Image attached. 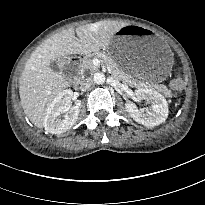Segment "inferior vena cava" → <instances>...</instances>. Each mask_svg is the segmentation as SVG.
<instances>
[{
  "label": "inferior vena cava",
  "mask_w": 205,
  "mask_h": 205,
  "mask_svg": "<svg viewBox=\"0 0 205 205\" xmlns=\"http://www.w3.org/2000/svg\"><path fill=\"white\" fill-rule=\"evenodd\" d=\"M92 84H93V80L91 78H87L83 81L81 89L87 90L92 86Z\"/></svg>",
  "instance_id": "1"
}]
</instances>
